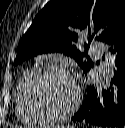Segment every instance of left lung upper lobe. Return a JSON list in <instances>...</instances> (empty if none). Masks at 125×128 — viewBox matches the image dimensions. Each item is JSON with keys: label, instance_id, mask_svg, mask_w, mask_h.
Returning a JSON list of instances; mask_svg holds the SVG:
<instances>
[{"label": "left lung upper lobe", "instance_id": "5c2ea615", "mask_svg": "<svg viewBox=\"0 0 125 128\" xmlns=\"http://www.w3.org/2000/svg\"><path fill=\"white\" fill-rule=\"evenodd\" d=\"M125 25V0H51L37 14L17 47L15 65L41 53L61 52L75 59L84 72L94 63L77 48L78 34L89 43L109 42Z\"/></svg>", "mask_w": 125, "mask_h": 128}]
</instances>
